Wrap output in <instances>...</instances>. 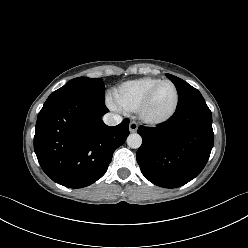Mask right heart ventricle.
<instances>
[{
	"mask_svg": "<svg viewBox=\"0 0 248 248\" xmlns=\"http://www.w3.org/2000/svg\"><path fill=\"white\" fill-rule=\"evenodd\" d=\"M159 81V78L143 77L124 82L113 90V103L122 111H136L147 91Z\"/></svg>",
	"mask_w": 248,
	"mask_h": 248,
	"instance_id": "1",
	"label": "right heart ventricle"
}]
</instances>
